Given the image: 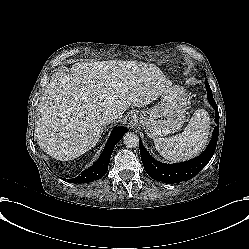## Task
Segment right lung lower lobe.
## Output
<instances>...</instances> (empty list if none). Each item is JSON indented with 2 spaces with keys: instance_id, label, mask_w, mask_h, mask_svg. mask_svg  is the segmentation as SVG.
I'll return each instance as SVG.
<instances>
[{
  "instance_id": "1",
  "label": "right lung lower lobe",
  "mask_w": 249,
  "mask_h": 249,
  "mask_svg": "<svg viewBox=\"0 0 249 249\" xmlns=\"http://www.w3.org/2000/svg\"><path fill=\"white\" fill-rule=\"evenodd\" d=\"M127 131L128 130L125 127L114 128L97 162L91 168L83 171L81 175L72 179V182L87 183L101 179L107 173L114 146L121 140Z\"/></svg>"
}]
</instances>
